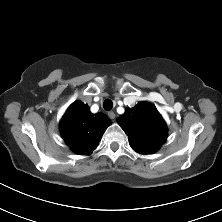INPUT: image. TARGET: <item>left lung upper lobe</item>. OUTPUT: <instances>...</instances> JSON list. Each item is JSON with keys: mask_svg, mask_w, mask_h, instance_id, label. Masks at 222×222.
<instances>
[{"mask_svg": "<svg viewBox=\"0 0 222 222\" xmlns=\"http://www.w3.org/2000/svg\"><path fill=\"white\" fill-rule=\"evenodd\" d=\"M129 137V144L140 154L155 153L167 138V127L156 107L141 102L117 119Z\"/></svg>", "mask_w": 222, "mask_h": 222, "instance_id": "obj_1", "label": "left lung upper lobe"}]
</instances>
